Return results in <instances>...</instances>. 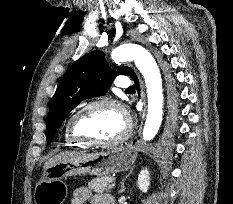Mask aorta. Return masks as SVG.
Wrapping results in <instances>:
<instances>
[{"mask_svg":"<svg viewBox=\"0 0 233 204\" xmlns=\"http://www.w3.org/2000/svg\"><path fill=\"white\" fill-rule=\"evenodd\" d=\"M115 62L134 60L136 67L142 73L148 97V113L143 129V139L149 141L157 134L163 116L162 79L158 65L153 56L142 46L123 44L111 53Z\"/></svg>","mask_w":233,"mask_h":204,"instance_id":"aorta-1","label":"aorta"}]
</instances>
